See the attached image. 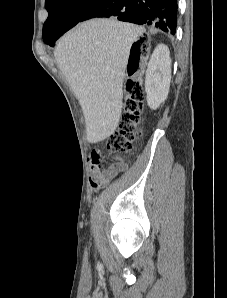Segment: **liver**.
<instances>
[{
	"label": "liver",
	"instance_id": "6515ba94",
	"mask_svg": "<svg viewBox=\"0 0 227 298\" xmlns=\"http://www.w3.org/2000/svg\"><path fill=\"white\" fill-rule=\"evenodd\" d=\"M144 31L114 18H96L63 35L56 45V63L82 107L89 143L107 139L118 126L129 52Z\"/></svg>",
	"mask_w": 227,
	"mask_h": 298
}]
</instances>
